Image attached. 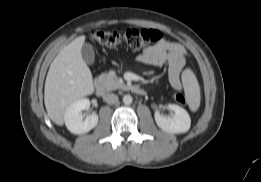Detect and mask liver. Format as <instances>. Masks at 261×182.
<instances>
[{
	"mask_svg": "<svg viewBox=\"0 0 261 182\" xmlns=\"http://www.w3.org/2000/svg\"><path fill=\"white\" fill-rule=\"evenodd\" d=\"M85 39L79 36L61 49L47 73L44 103L49 118L60 126L66 109L94 92L92 73L81 55Z\"/></svg>",
	"mask_w": 261,
	"mask_h": 182,
	"instance_id": "6515ba94",
	"label": "liver"
}]
</instances>
